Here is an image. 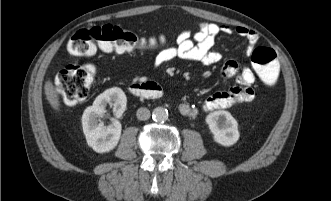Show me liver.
<instances>
[{
  "mask_svg": "<svg viewBox=\"0 0 331 201\" xmlns=\"http://www.w3.org/2000/svg\"><path fill=\"white\" fill-rule=\"evenodd\" d=\"M44 90H45L46 98H47L49 104L51 105V107L54 110L59 111L60 110L59 96L56 93L54 86L50 80L46 81Z\"/></svg>",
  "mask_w": 331,
  "mask_h": 201,
  "instance_id": "6515ba94",
  "label": "liver"
}]
</instances>
